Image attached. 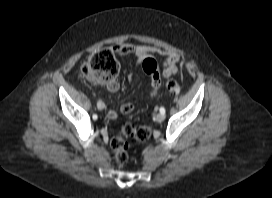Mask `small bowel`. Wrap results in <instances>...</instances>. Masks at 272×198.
Masks as SVG:
<instances>
[{
    "label": "small bowel",
    "mask_w": 272,
    "mask_h": 198,
    "mask_svg": "<svg viewBox=\"0 0 272 198\" xmlns=\"http://www.w3.org/2000/svg\"><path fill=\"white\" fill-rule=\"evenodd\" d=\"M116 51L119 55L124 56L128 54H134L136 58V63L139 64L142 60L154 56L156 54L164 57L162 63V71L159 70L154 71L149 74L151 78V91L150 96H154L158 91L161 85V77H170L174 76L178 73V64L180 62V56L176 53L168 52L166 50L147 46V45H130V44H120L116 47ZM135 74L131 73L128 76V80L130 83L134 81ZM119 83L117 80H113L106 84V88L111 92H116L119 90ZM97 106L104 107V103L99 101ZM135 105L133 102H124L120 107V112L123 114H128L133 111ZM107 117L110 120H114L118 117V112L115 110H110L107 113Z\"/></svg>",
    "instance_id": "small-bowel-1"
}]
</instances>
